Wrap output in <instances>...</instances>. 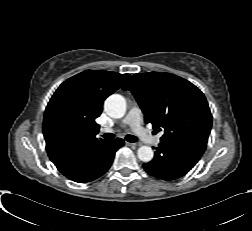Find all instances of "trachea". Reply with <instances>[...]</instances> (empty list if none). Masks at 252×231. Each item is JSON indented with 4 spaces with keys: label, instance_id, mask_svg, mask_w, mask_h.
<instances>
[{
    "label": "trachea",
    "instance_id": "trachea-1",
    "mask_svg": "<svg viewBox=\"0 0 252 231\" xmlns=\"http://www.w3.org/2000/svg\"><path fill=\"white\" fill-rule=\"evenodd\" d=\"M102 137L104 139H106V140H111V139L114 138V134H112V133H106ZM125 140L128 141V142L133 143V142H137L138 138L135 137V136H133V135H126L125 136Z\"/></svg>",
    "mask_w": 252,
    "mask_h": 231
}]
</instances>
